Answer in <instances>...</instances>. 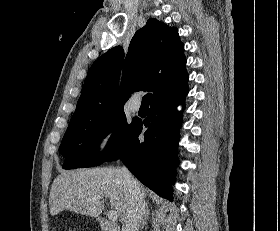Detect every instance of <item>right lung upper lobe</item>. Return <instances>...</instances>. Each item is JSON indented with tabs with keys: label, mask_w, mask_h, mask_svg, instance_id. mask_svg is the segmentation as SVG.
<instances>
[{
	"label": "right lung upper lobe",
	"mask_w": 280,
	"mask_h": 231,
	"mask_svg": "<svg viewBox=\"0 0 280 231\" xmlns=\"http://www.w3.org/2000/svg\"><path fill=\"white\" fill-rule=\"evenodd\" d=\"M185 66L177 28L150 18L135 33L125 59L123 47L117 46L93 63L70 122L124 111V102L136 91H152V101L172 93L187 85Z\"/></svg>",
	"instance_id": "right-lung-upper-lobe-1"
}]
</instances>
